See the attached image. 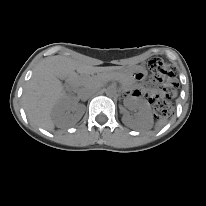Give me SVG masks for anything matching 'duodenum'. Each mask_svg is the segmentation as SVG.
I'll return each instance as SVG.
<instances>
[{
    "label": "duodenum",
    "mask_w": 206,
    "mask_h": 206,
    "mask_svg": "<svg viewBox=\"0 0 206 206\" xmlns=\"http://www.w3.org/2000/svg\"><path fill=\"white\" fill-rule=\"evenodd\" d=\"M70 87H74V85H73V84H71V85H70Z\"/></svg>",
    "instance_id": "1"
}]
</instances>
